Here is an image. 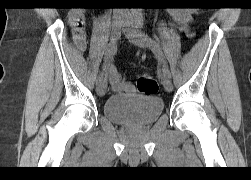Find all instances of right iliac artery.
Wrapping results in <instances>:
<instances>
[{
	"label": "right iliac artery",
	"instance_id": "1",
	"mask_svg": "<svg viewBox=\"0 0 251 180\" xmlns=\"http://www.w3.org/2000/svg\"><path fill=\"white\" fill-rule=\"evenodd\" d=\"M116 49H117V47L115 44H112V43L108 44L106 51H105L103 70H105L106 67L110 64V61L113 58V55L115 54ZM103 75H104L103 72L99 73L96 84H99L102 81Z\"/></svg>",
	"mask_w": 251,
	"mask_h": 180
}]
</instances>
